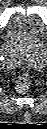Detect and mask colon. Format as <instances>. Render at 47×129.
Listing matches in <instances>:
<instances>
[{"label":"colon","instance_id":"obj_1","mask_svg":"<svg viewBox=\"0 0 47 129\" xmlns=\"http://www.w3.org/2000/svg\"><path fill=\"white\" fill-rule=\"evenodd\" d=\"M30 84H31V74H30V72L25 71L17 79L16 88L19 91L24 92V91L28 90V88L30 87Z\"/></svg>","mask_w":47,"mask_h":129}]
</instances>
